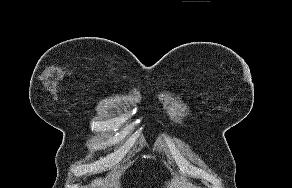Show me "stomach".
I'll return each instance as SVG.
<instances>
[{"label":"stomach","mask_w":292,"mask_h":188,"mask_svg":"<svg viewBox=\"0 0 292 188\" xmlns=\"http://www.w3.org/2000/svg\"><path fill=\"white\" fill-rule=\"evenodd\" d=\"M183 188H202V187L201 186H197L196 184L187 182V183H185Z\"/></svg>","instance_id":"1"}]
</instances>
